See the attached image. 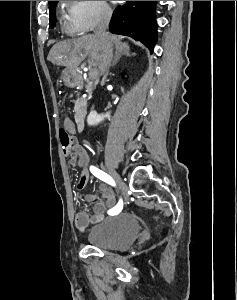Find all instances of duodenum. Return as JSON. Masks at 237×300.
<instances>
[{"instance_id": "1", "label": "duodenum", "mask_w": 237, "mask_h": 300, "mask_svg": "<svg viewBox=\"0 0 237 300\" xmlns=\"http://www.w3.org/2000/svg\"><path fill=\"white\" fill-rule=\"evenodd\" d=\"M70 81L72 85H78L80 78L76 73H70ZM87 119V105L86 102L82 101L79 103L76 114H75V125L79 132H82L85 128Z\"/></svg>"}]
</instances>
